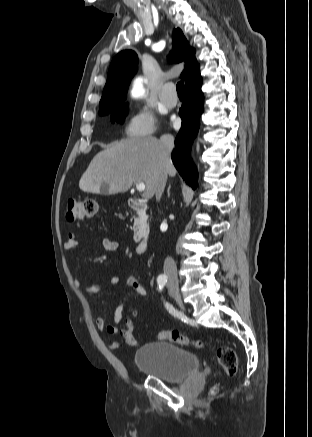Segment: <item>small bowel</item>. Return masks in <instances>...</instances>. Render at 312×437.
Returning <instances> with one entry per match:
<instances>
[{
  "label": "small bowel",
  "mask_w": 312,
  "mask_h": 437,
  "mask_svg": "<svg viewBox=\"0 0 312 437\" xmlns=\"http://www.w3.org/2000/svg\"><path fill=\"white\" fill-rule=\"evenodd\" d=\"M78 246V240H77V235L73 232H70L68 234V238L66 240V242L64 243V249L66 251H71L73 249H75ZM102 247L107 250V251H118L120 249V244L114 240H111L109 238H104L102 240ZM119 278L117 277H113L110 280V284L112 286H115L119 283ZM76 286L86 295L88 296H93L95 294H97L98 292H100L101 290L104 289L103 286L95 284V285H90V286H81L80 283L76 280L75 281ZM126 285L133 290L134 292H136L139 296L141 297H147L148 296V291L145 289V287L140 283V281L138 279H136L133 276H129L126 278ZM124 311H125V304H120L116 310L114 311V315H113V323L112 324H107L105 319L101 316L96 317L95 319V324L97 326V328L100 331H105L109 334H116L118 332V327L117 324L121 322V320L123 319L124 316ZM109 346L112 349H118L120 348V343L117 341H113L109 343Z\"/></svg>",
  "instance_id": "small-bowel-1"
}]
</instances>
